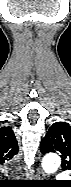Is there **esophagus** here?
<instances>
[{
  "label": "esophagus",
  "mask_w": 71,
  "mask_h": 187,
  "mask_svg": "<svg viewBox=\"0 0 71 187\" xmlns=\"http://www.w3.org/2000/svg\"><path fill=\"white\" fill-rule=\"evenodd\" d=\"M37 177H38V178H45V174L43 173V171L38 170V171H37Z\"/></svg>",
  "instance_id": "esophagus-1"
}]
</instances>
